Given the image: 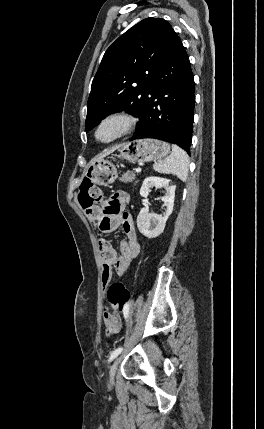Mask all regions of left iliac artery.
Returning a JSON list of instances; mask_svg holds the SVG:
<instances>
[{
  "label": "left iliac artery",
  "instance_id": "left-iliac-artery-1",
  "mask_svg": "<svg viewBox=\"0 0 264 429\" xmlns=\"http://www.w3.org/2000/svg\"><path fill=\"white\" fill-rule=\"evenodd\" d=\"M128 316H129V305H127L125 310H124L125 319H127ZM122 350H123V348L119 347L116 350L112 351L110 354V357L108 359V362H111L112 360H114L122 352Z\"/></svg>",
  "mask_w": 264,
  "mask_h": 429
}]
</instances>
